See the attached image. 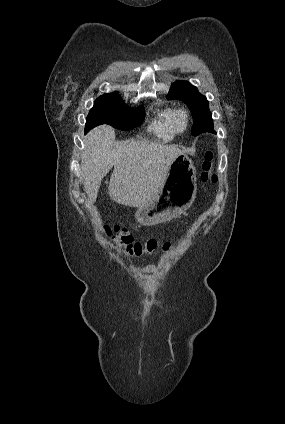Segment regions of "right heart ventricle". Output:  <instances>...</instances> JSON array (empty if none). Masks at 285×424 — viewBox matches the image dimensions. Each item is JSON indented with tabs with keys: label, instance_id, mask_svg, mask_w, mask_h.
<instances>
[{
	"label": "right heart ventricle",
	"instance_id": "1",
	"mask_svg": "<svg viewBox=\"0 0 285 424\" xmlns=\"http://www.w3.org/2000/svg\"><path fill=\"white\" fill-rule=\"evenodd\" d=\"M174 109L164 108L157 111L150 129L164 140H170L177 133L172 125Z\"/></svg>",
	"mask_w": 285,
	"mask_h": 424
}]
</instances>
